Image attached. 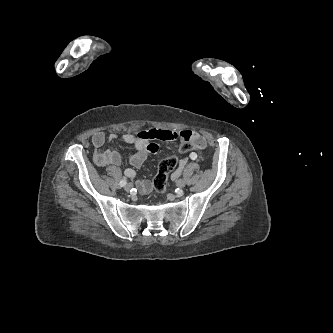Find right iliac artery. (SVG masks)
<instances>
[{"mask_svg": "<svg viewBox=\"0 0 333 333\" xmlns=\"http://www.w3.org/2000/svg\"><path fill=\"white\" fill-rule=\"evenodd\" d=\"M126 184H127V181H126V180H121L120 183H119V185H120L121 187L125 186Z\"/></svg>", "mask_w": 333, "mask_h": 333, "instance_id": "right-iliac-artery-1", "label": "right iliac artery"}]
</instances>
